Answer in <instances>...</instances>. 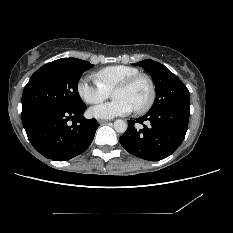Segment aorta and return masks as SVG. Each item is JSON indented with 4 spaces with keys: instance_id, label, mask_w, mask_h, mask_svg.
<instances>
[{
    "instance_id": "762f6f07",
    "label": "aorta",
    "mask_w": 233,
    "mask_h": 233,
    "mask_svg": "<svg viewBox=\"0 0 233 233\" xmlns=\"http://www.w3.org/2000/svg\"><path fill=\"white\" fill-rule=\"evenodd\" d=\"M114 129L118 133H124L127 130V123L124 120L118 119L114 122Z\"/></svg>"
}]
</instances>
